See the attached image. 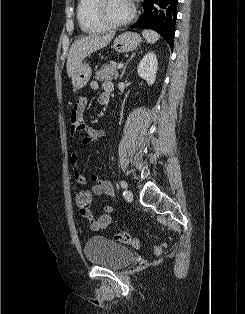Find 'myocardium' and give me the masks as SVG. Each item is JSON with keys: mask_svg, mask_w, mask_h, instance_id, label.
I'll return each mask as SVG.
<instances>
[{"mask_svg": "<svg viewBox=\"0 0 245 314\" xmlns=\"http://www.w3.org/2000/svg\"><path fill=\"white\" fill-rule=\"evenodd\" d=\"M105 2L106 0H96L94 5V14L97 21L101 23L103 26H105L107 29H116L127 26L135 19L137 15V8L134 4H132V12L127 19L120 22H112L105 16L104 13Z\"/></svg>", "mask_w": 245, "mask_h": 314, "instance_id": "obj_1", "label": "myocardium"}]
</instances>
